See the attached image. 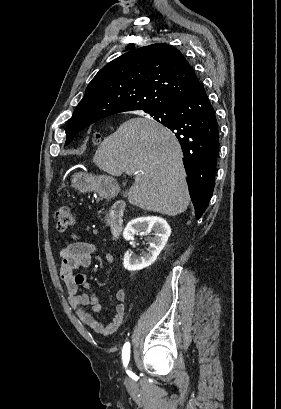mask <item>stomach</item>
<instances>
[{
  "label": "stomach",
  "mask_w": 281,
  "mask_h": 409,
  "mask_svg": "<svg viewBox=\"0 0 281 409\" xmlns=\"http://www.w3.org/2000/svg\"><path fill=\"white\" fill-rule=\"evenodd\" d=\"M72 186L80 192H98L99 196L102 198H112V196H117L120 186L111 176H106V174H87V172H75L71 180Z\"/></svg>",
  "instance_id": "stomach-1"
}]
</instances>
